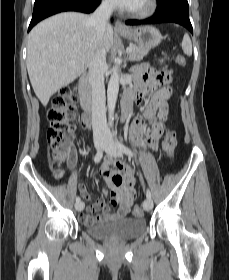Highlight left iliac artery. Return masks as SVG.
I'll return each instance as SVG.
<instances>
[{"label":"left iliac artery","mask_w":229,"mask_h":280,"mask_svg":"<svg viewBox=\"0 0 229 280\" xmlns=\"http://www.w3.org/2000/svg\"><path fill=\"white\" fill-rule=\"evenodd\" d=\"M117 145L119 146V148L121 149V151L123 153H125L128 156H133V152L130 148H128L127 146L123 145L122 143L118 142L117 140ZM146 196L147 198H151V192L149 189L146 190Z\"/></svg>","instance_id":"obj_1"}]
</instances>
